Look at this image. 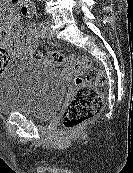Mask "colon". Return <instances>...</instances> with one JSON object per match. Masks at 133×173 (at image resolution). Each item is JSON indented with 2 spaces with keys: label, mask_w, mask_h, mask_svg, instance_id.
Segmentation results:
<instances>
[{
  "label": "colon",
  "mask_w": 133,
  "mask_h": 173,
  "mask_svg": "<svg viewBox=\"0 0 133 173\" xmlns=\"http://www.w3.org/2000/svg\"><path fill=\"white\" fill-rule=\"evenodd\" d=\"M34 57L43 61L64 64L73 73L76 92L63 113V126L74 129L92 119L102 108L103 98L99 88L105 83L103 71L92 66L86 56L68 55L59 52H35ZM7 55L0 50V69L7 63Z\"/></svg>",
  "instance_id": "obj_1"
}]
</instances>
